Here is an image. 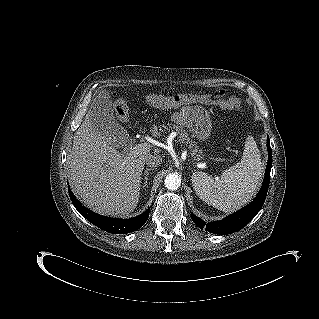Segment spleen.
<instances>
[{"mask_svg": "<svg viewBox=\"0 0 319 319\" xmlns=\"http://www.w3.org/2000/svg\"><path fill=\"white\" fill-rule=\"evenodd\" d=\"M261 155L253 137L244 145L241 161L220 177L213 178L197 171L192 175L193 188L200 199L224 212H233L245 205L258 189L262 178Z\"/></svg>", "mask_w": 319, "mask_h": 319, "instance_id": "spleen-1", "label": "spleen"}]
</instances>
